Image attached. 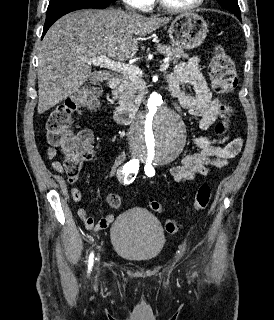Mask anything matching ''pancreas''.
Returning a JSON list of instances; mask_svg holds the SVG:
<instances>
[{
	"label": "pancreas",
	"mask_w": 274,
	"mask_h": 320,
	"mask_svg": "<svg viewBox=\"0 0 274 320\" xmlns=\"http://www.w3.org/2000/svg\"><path fill=\"white\" fill-rule=\"evenodd\" d=\"M157 52L164 54L166 58H170V62L177 64L180 58H188L182 48H172V46H157ZM122 84L116 90H112L114 100H118L120 108H128V110H138L144 92L145 82L140 78H132V76H122Z\"/></svg>",
	"instance_id": "obj_1"
}]
</instances>
